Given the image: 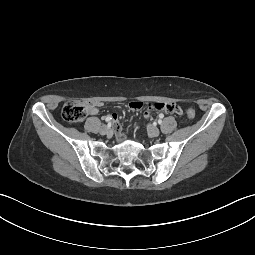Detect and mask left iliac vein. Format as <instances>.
<instances>
[{"mask_svg":"<svg viewBox=\"0 0 255 255\" xmlns=\"http://www.w3.org/2000/svg\"><path fill=\"white\" fill-rule=\"evenodd\" d=\"M148 132L151 137H158L160 134L159 129L153 125H149Z\"/></svg>","mask_w":255,"mask_h":255,"instance_id":"4c4485c4","label":"left iliac vein"}]
</instances>
